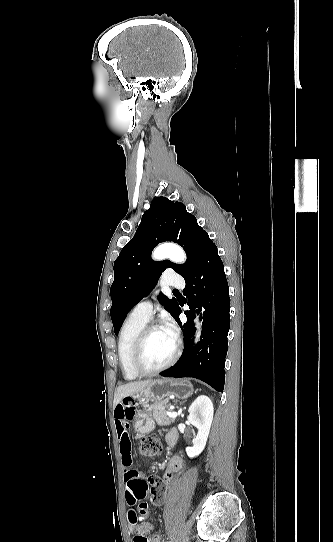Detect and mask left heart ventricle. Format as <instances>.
I'll return each instance as SVG.
<instances>
[{"label": "left heart ventricle", "mask_w": 333, "mask_h": 542, "mask_svg": "<svg viewBox=\"0 0 333 542\" xmlns=\"http://www.w3.org/2000/svg\"><path fill=\"white\" fill-rule=\"evenodd\" d=\"M175 348V340L161 328L153 330L146 341L142 356V365L152 369L166 362Z\"/></svg>", "instance_id": "b2bd125f"}]
</instances>
